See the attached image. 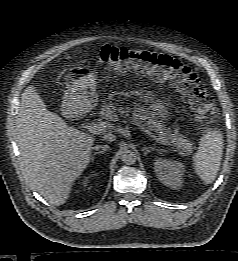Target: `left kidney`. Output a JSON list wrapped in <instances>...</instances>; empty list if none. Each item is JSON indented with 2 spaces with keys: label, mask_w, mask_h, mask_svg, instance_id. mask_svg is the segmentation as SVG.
Segmentation results:
<instances>
[{
  "label": "left kidney",
  "mask_w": 238,
  "mask_h": 261,
  "mask_svg": "<svg viewBox=\"0 0 238 261\" xmlns=\"http://www.w3.org/2000/svg\"><path fill=\"white\" fill-rule=\"evenodd\" d=\"M154 171L157 178L165 186L179 189L182 186L184 165L178 161L157 158L154 162Z\"/></svg>",
  "instance_id": "left-kidney-1"
}]
</instances>
